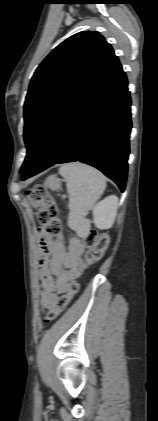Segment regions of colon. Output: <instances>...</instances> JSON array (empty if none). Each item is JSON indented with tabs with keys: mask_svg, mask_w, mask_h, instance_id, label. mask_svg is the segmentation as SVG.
<instances>
[{
	"mask_svg": "<svg viewBox=\"0 0 158 421\" xmlns=\"http://www.w3.org/2000/svg\"><path fill=\"white\" fill-rule=\"evenodd\" d=\"M28 197L31 205L37 211V221L41 225L39 232L61 238L63 226L53 196L43 186L36 185L28 192ZM84 244L87 249L84 265L87 267L102 259L108 247L109 238L104 232L92 230L84 237ZM78 290L79 284L76 281L70 282L68 292L59 297L54 307L47 309L45 314L46 322H51L58 318L68 307Z\"/></svg>",
	"mask_w": 158,
	"mask_h": 421,
	"instance_id": "1",
	"label": "colon"
}]
</instances>
